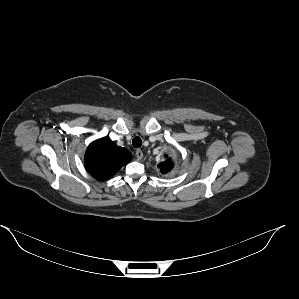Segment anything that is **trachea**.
<instances>
[{"instance_id": "3493384b", "label": "trachea", "mask_w": 299, "mask_h": 299, "mask_svg": "<svg viewBox=\"0 0 299 299\" xmlns=\"http://www.w3.org/2000/svg\"><path fill=\"white\" fill-rule=\"evenodd\" d=\"M132 145L135 147V148H139L142 146V140L140 137L136 136L133 138L132 140Z\"/></svg>"}]
</instances>
